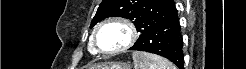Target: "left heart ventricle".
Masks as SVG:
<instances>
[{"label":"left heart ventricle","mask_w":246,"mask_h":69,"mask_svg":"<svg viewBox=\"0 0 246 69\" xmlns=\"http://www.w3.org/2000/svg\"><path fill=\"white\" fill-rule=\"evenodd\" d=\"M97 38L100 47L103 49H108L125 43L128 38V32L122 25L111 23L99 31Z\"/></svg>","instance_id":"left-heart-ventricle-1"}]
</instances>
